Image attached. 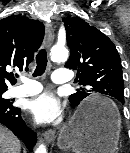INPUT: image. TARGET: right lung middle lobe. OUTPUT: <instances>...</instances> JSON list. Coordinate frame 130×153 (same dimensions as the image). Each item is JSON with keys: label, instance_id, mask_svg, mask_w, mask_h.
<instances>
[{"label": "right lung middle lobe", "instance_id": "right-lung-middle-lobe-1", "mask_svg": "<svg viewBox=\"0 0 130 153\" xmlns=\"http://www.w3.org/2000/svg\"><path fill=\"white\" fill-rule=\"evenodd\" d=\"M5 91H0V102H3V103H8L10 100H7V99H4L1 97V95L4 93Z\"/></svg>", "mask_w": 130, "mask_h": 153}]
</instances>
